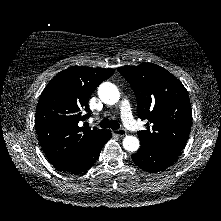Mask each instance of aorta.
Returning a JSON list of instances; mask_svg holds the SVG:
<instances>
[{"mask_svg": "<svg viewBox=\"0 0 221 221\" xmlns=\"http://www.w3.org/2000/svg\"><path fill=\"white\" fill-rule=\"evenodd\" d=\"M98 96L103 103L108 105H114L120 99L118 88L110 82H103L98 87ZM123 147L127 151L135 152L139 149V140L134 136L128 135L123 139Z\"/></svg>", "mask_w": 221, "mask_h": 221, "instance_id": "762f6f07", "label": "aorta"}]
</instances>
